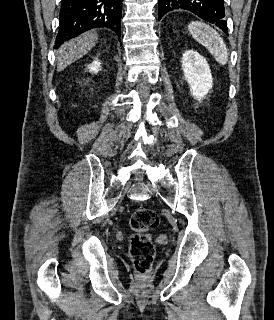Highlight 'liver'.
Returning a JSON list of instances; mask_svg holds the SVG:
<instances>
[{"mask_svg":"<svg viewBox=\"0 0 274 320\" xmlns=\"http://www.w3.org/2000/svg\"><path fill=\"white\" fill-rule=\"evenodd\" d=\"M98 42V34L96 32H84L78 38H73L69 42H65L58 50V64L57 70H65L67 66L83 58L85 54H88Z\"/></svg>","mask_w":274,"mask_h":320,"instance_id":"liver-1","label":"liver"}]
</instances>
